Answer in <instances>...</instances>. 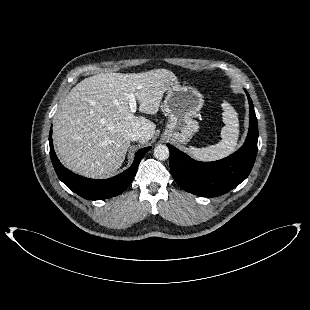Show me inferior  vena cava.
Here are the masks:
<instances>
[{"instance_id":"602c4592","label":"inferior vena cava","mask_w":310,"mask_h":310,"mask_svg":"<svg viewBox=\"0 0 310 310\" xmlns=\"http://www.w3.org/2000/svg\"><path fill=\"white\" fill-rule=\"evenodd\" d=\"M141 132L138 130H133L131 132L128 133V137L130 139V141H138L141 139Z\"/></svg>"}]
</instances>
